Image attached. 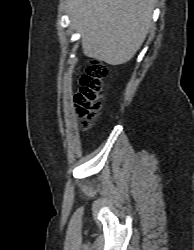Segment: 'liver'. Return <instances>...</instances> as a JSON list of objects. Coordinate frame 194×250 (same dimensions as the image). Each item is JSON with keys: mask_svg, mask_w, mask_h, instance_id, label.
<instances>
[{"mask_svg": "<svg viewBox=\"0 0 194 250\" xmlns=\"http://www.w3.org/2000/svg\"><path fill=\"white\" fill-rule=\"evenodd\" d=\"M155 0H67L85 56L109 65L128 62L152 25Z\"/></svg>", "mask_w": 194, "mask_h": 250, "instance_id": "1", "label": "liver"}]
</instances>
